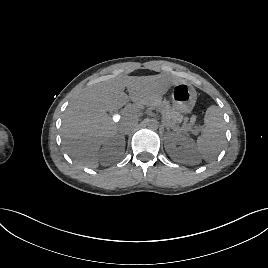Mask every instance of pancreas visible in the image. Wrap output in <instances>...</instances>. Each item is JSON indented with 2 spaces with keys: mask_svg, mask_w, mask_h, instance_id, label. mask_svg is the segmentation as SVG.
Returning a JSON list of instances; mask_svg holds the SVG:
<instances>
[{
  "mask_svg": "<svg viewBox=\"0 0 268 268\" xmlns=\"http://www.w3.org/2000/svg\"><path fill=\"white\" fill-rule=\"evenodd\" d=\"M151 105L161 112L163 123L169 128L182 133H186L192 129L193 122L184 124L182 127L178 126L183 121V116L178 111L173 110L168 101H162L160 99L152 102Z\"/></svg>",
  "mask_w": 268,
  "mask_h": 268,
  "instance_id": "1",
  "label": "pancreas"
}]
</instances>
